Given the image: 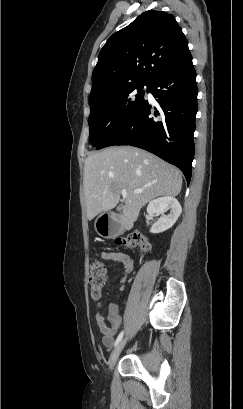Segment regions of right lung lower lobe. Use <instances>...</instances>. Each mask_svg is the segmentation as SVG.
<instances>
[{
  "instance_id": "98d812e1",
  "label": "right lung lower lobe",
  "mask_w": 243,
  "mask_h": 409,
  "mask_svg": "<svg viewBox=\"0 0 243 409\" xmlns=\"http://www.w3.org/2000/svg\"><path fill=\"white\" fill-rule=\"evenodd\" d=\"M159 106L147 100L109 142L145 149L180 168L190 183L197 113L196 72L192 56L183 53L150 84ZM107 146V147H108Z\"/></svg>"
}]
</instances>
